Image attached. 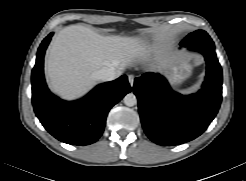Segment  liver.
Returning a JSON list of instances; mask_svg holds the SVG:
<instances>
[{"instance_id": "liver-1", "label": "liver", "mask_w": 246, "mask_h": 181, "mask_svg": "<svg viewBox=\"0 0 246 181\" xmlns=\"http://www.w3.org/2000/svg\"><path fill=\"white\" fill-rule=\"evenodd\" d=\"M145 52L146 46L140 39L101 36L83 26L71 25L53 40L46 58V75L53 92L71 100L95 85L94 72L111 66L119 75Z\"/></svg>"}]
</instances>
